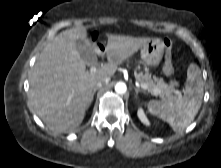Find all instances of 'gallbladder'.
<instances>
[{
    "label": "gallbladder",
    "mask_w": 221,
    "mask_h": 168,
    "mask_svg": "<svg viewBox=\"0 0 221 168\" xmlns=\"http://www.w3.org/2000/svg\"><path fill=\"white\" fill-rule=\"evenodd\" d=\"M76 50L78 51L85 63L94 64L97 61L95 52L85 41L77 40Z\"/></svg>",
    "instance_id": "obj_1"
}]
</instances>
